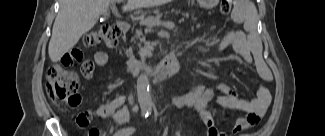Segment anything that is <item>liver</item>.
<instances>
[{
    "mask_svg": "<svg viewBox=\"0 0 325 136\" xmlns=\"http://www.w3.org/2000/svg\"><path fill=\"white\" fill-rule=\"evenodd\" d=\"M115 0H60L48 53L52 62H57L73 48L82 35L91 30L99 17L108 16L107 8ZM168 0H127L123 11L161 5Z\"/></svg>",
    "mask_w": 325,
    "mask_h": 136,
    "instance_id": "obj_1",
    "label": "liver"
}]
</instances>
